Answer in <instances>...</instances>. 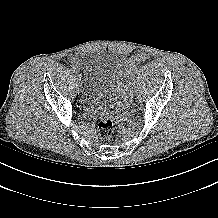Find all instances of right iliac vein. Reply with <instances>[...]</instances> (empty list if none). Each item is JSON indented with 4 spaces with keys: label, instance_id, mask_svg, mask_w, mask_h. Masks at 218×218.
Wrapping results in <instances>:
<instances>
[{
    "label": "right iliac vein",
    "instance_id": "1",
    "mask_svg": "<svg viewBox=\"0 0 218 218\" xmlns=\"http://www.w3.org/2000/svg\"><path fill=\"white\" fill-rule=\"evenodd\" d=\"M78 85H79V86L81 85V83H80V79H79V81H78Z\"/></svg>",
    "mask_w": 218,
    "mask_h": 218
}]
</instances>
